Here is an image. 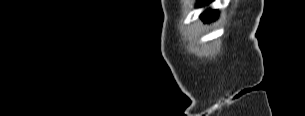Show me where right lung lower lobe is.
Listing matches in <instances>:
<instances>
[{
    "label": "right lung lower lobe",
    "mask_w": 305,
    "mask_h": 116,
    "mask_svg": "<svg viewBox=\"0 0 305 116\" xmlns=\"http://www.w3.org/2000/svg\"><path fill=\"white\" fill-rule=\"evenodd\" d=\"M211 0H199L198 6H203L206 5L208 3H210ZM218 17V12L216 10H207L202 18L206 21V22H210L215 20Z\"/></svg>",
    "instance_id": "98d812e1"
}]
</instances>
